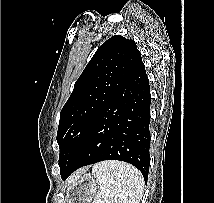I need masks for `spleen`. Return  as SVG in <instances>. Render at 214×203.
I'll list each match as a JSON object with an SVG mask.
<instances>
[{"instance_id":"1","label":"spleen","mask_w":214,"mask_h":203,"mask_svg":"<svg viewBox=\"0 0 214 203\" xmlns=\"http://www.w3.org/2000/svg\"><path fill=\"white\" fill-rule=\"evenodd\" d=\"M99 190L93 203H140L144 192L141 173L130 164L118 161L93 166Z\"/></svg>"}]
</instances>
